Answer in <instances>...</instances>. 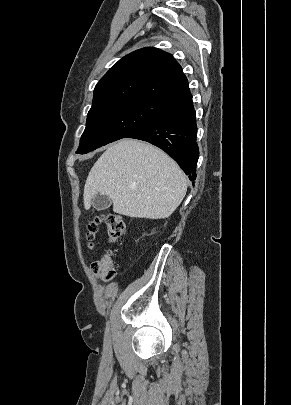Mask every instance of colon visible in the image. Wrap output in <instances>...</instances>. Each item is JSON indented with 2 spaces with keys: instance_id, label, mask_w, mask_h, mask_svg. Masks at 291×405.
<instances>
[{
  "instance_id": "colon-1",
  "label": "colon",
  "mask_w": 291,
  "mask_h": 405,
  "mask_svg": "<svg viewBox=\"0 0 291 405\" xmlns=\"http://www.w3.org/2000/svg\"><path fill=\"white\" fill-rule=\"evenodd\" d=\"M101 223L107 228V234L111 241H116L122 237L125 232V221L122 216L116 213H108L97 216L88 222L86 226V237L89 247L94 246L95 235ZM92 270L95 276L103 281H111L115 278L116 272L111 253L105 254L101 259L92 264Z\"/></svg>"
}]
</instances>
